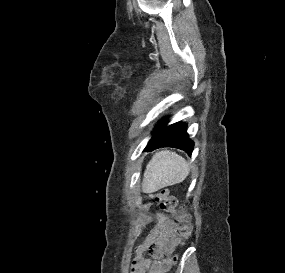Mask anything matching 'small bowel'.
Listing matches in <instances>:
<instances>
[{"label": "small bowel", "instance_id": "small-bowel-1", "mask_svg": "<svg viewBox=\"0 0 285 273\" xmlns=\"http://www.w3.org/2000/svg\"><path fill=\"white\" fill-rule=\"evenodd\" d=\"M178 243L177 224L159 214L155 226L136 247L131 273H165L171 266L170 253Z\"/></svg>", "mask_w": 285, "mask_h": 273}]
</instances>
